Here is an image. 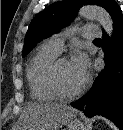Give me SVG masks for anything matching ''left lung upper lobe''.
<instances>
[{
	"mask_svg": "<svg viewBox=\"0 0 123 130\" xmlns=\"http://www.w3.org/2000/svg\"><path fill=\"white\" fill-rule=\"evenodd\" d=\"M88 4L102 6L108 11L112 19L120 8L115 0H64L55 2L38 13L31 21L26 33L22 56H26L39 41L68 25L76 17L79 8Z\"/></svg>",
	"mask_w": 123,
	"mask_h": 130,
	"instance_id": "obj_1",
	"label": "left lung upper lobe"
}]
</instances>
